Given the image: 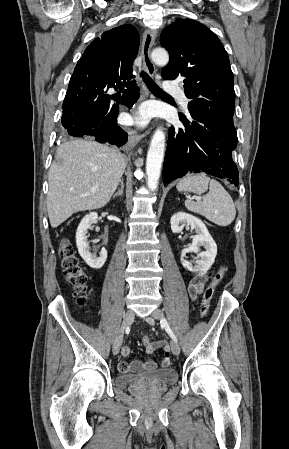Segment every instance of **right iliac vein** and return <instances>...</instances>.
I'll return each instance as SVG.
<instances>
[{
  "mask_svg": "<svg viewBox=\"0 0 289 449\" xmlns=\"http://www.w3.org/2000/svg\"><path fill=\"white\" fill-rule=\"evenodd\" d=\"M134 320V312L132 310H127L123 316V322L122 326L119 332V335L116 337L114 344H113V353L117 355L120 351L121 344H122V336L124 333V330L131 325V323Z\"/></svg>",
  "mask_w": 289,
  "mask_h": 449,
  "instance_id": "right-iliac-vein-1",
  "label": "right iliac vein"
}]
</instances>
